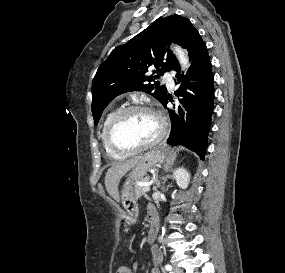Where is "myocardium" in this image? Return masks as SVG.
<instances>
[{
    "label": "myocardium",
    "mask_w": 285,
    "mask_h": 273,
    "mask_svg": "<svg viewBox=\"0 0 285 273\" xmlns=\"http://www.w3.org/2000/svg\"><path fill=\"white\" fill-rule=\"evenodd\" d=\"M136 111H143V112H147L151 114L158 122L159 132L153 140L147 143L134 146V147H124L115 140V130L119 122L125 115L131 112H136ZM167 131H168V126H167L166 119L157 109H155L154 107L145 105V104H131V105H127V106L120 108L113 115L106 129V140L109 146L113 150L119 153H122V154H133V153H137L142 150L151 148L155 146L156 144H158L159 142H161L165 138Z\"/></svg>",
    "instance_id": "obj_1"
}]
</instances>
